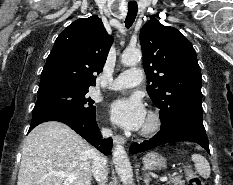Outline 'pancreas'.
I'll return each instance as SVG.
<instances>
[{"label": "pancreas", "mask_w": 233, "mask_h": 185, "mask_svg": "<svg viewBox=\"0 0 233 185\" xmlns=\"http://www.w3.org/2000/svg\"><path fill=\"white\" fill-rule=\"evenodd\" d=\"M169 183H172L173 185H185V182L181 179V176L171 178Z\"/></svg>", "instance_id": "pancreas-1"}]
</instances>
